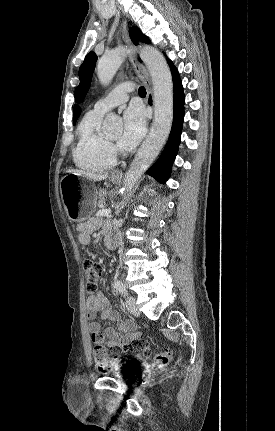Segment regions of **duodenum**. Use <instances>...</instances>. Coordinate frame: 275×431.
I'll return each instance as SVG.
<instances>
[{
    "mask_svg": "<svg viewBox=\"0 0 275 431\" xmlns=\"http://www.w3.org/2000/svg\"><path fill=\"white\" fill-rule=\"evenodd\" d=\"M105 245H106V246H107V248H109V249H114V248H116V246H117V242H116V240H115L112 236L107 235V236L105 237Z\"/></svg>",
    "mask_w": 275,
    "mask_h": 431,
    "instance_id": "obj_1",
    "label": "duodenum"
}]
</instances>
